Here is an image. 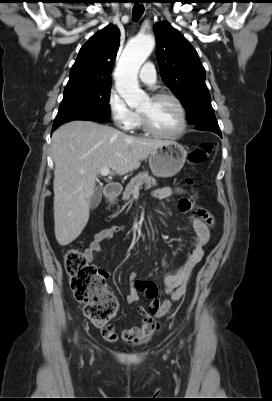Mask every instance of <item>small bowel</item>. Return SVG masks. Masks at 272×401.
<instances>
[{"label":"small bowel","mask_w":272,"mask_h":401,"mask_svg":"<svg viewBox=\"0 0 272 401\" xmlns=\"http://www.w3.org/2000/svg\"><path fill=\"white\" fill-rule=\"evenodd\" d=\"M176 192H178V190L172 187H164L155 190L154 195L158 198H167ZM177 206L180 212L190 214L189 220L194 230L191 252L179 268L166 272L163 277V288L159 289L157 285L152 282L153 292H150L149 288H145L144 291L140 290L139 284H146L147 282L138 280L135 272L129 275L127 301L129 303L137 302L139 300V293L144 292L150 299L149 304L157 306V310L147 316L141 314L142 324L139 327L124 328L119 331H115L112 328L111 334L106 337L107 339L115 340L121 338L125 342L132 344L147 341L157 328L155 319L165 315L172 303L180 300L185 294L191 274L195 266L204 256L203 247L210 238V232L214 226V218L210 212L202 207L196 206L187 198H181ZM123 230V226L114 225L96 232L85 250L87 261L92 262L94 260L96 254L101 250V244L104 241L113 238ZM104 275L108 276V273L104 272ZM159 293L167 295L168 299L161 302L158 297Z\"/></svg>","instance_id":"c3829d8e"}]
</instances>
